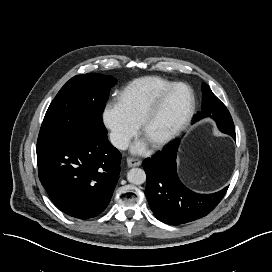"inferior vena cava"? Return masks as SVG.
<instances>
[{"label":"inferior vena cava","instance_id":"602c4592","mask_svg":"<svg viewBox=\"0 0 272 272\" xmlns=\"http://www.w3.org/2000/svg\"><path fill=\"white\" fill-rule=\"evenodd\" d=\"M110 141L118 149L125 150L128 148L130 139L120 133H111L110 134Z\"/></svg>","mask_w":272,"mask_h":272}]
</instances>
